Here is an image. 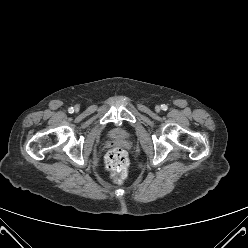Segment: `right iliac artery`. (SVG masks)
Listing matches in <instances>:
<instances>
[{
  "label": "right iliac artery",
  "mask_w": 248,
  "mask_h": 248,
  "mask_svg": "<svg viewBox=\"0 0 248 248\" xmlns=\"http://www.w3.org/2000/svg\"><path fill=\"white\" fill-rule=\"evenodd\" d=\"M68 112H69V113H73V112H74V108H73V107H70V108L68 109Z\"/></svg>",
  "instance_id": "1"
}]
</instances>
